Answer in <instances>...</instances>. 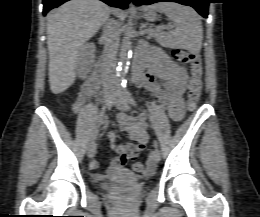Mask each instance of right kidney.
Here are the masks:
<instances>
[{
  "instance_id": "ca27d5eb",
  "label": "right kidney",
  "mask_w": 260,
  "mask_h": 217,
  "mask_svg": "<svg viewBox=\"0 0 260 217\" xmlns=\"http://www.w3.org/2000/svg\"><path fill=\"white\" fill-rule=\"evenodd\" d=\"M94 44L88 43L82 46L77 63V74L79 78L86 79L91 70L94 58Z\"/></svg>"
}]
</instances>
